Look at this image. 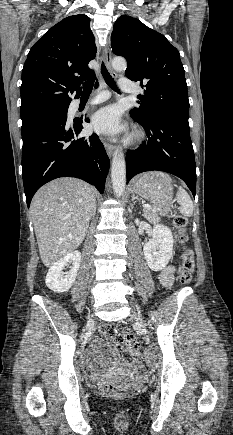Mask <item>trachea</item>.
I'll return each instance as SVG.
<instances>
[{
	"mask_svg": "<svg viewBox=\"0 0 233 435\" xmlns=\"http://www.w3.org/2000/svg\"><path fill=\"white\" fill-rule=\"evenodd\" d=\"M101 73L107 85L114 91L119 92V89L117 88L114 79L111 77L104 64L101 65ZM93 83L94 80L91 79L83 84V92H82L83 95H89L91 93L93 88Z\"/></svg>",
	"mask_w": 233,
	"mask_h": 435,
	"instance_id": "trachea-1",
	"label": "trachea"
}]
</instances>
